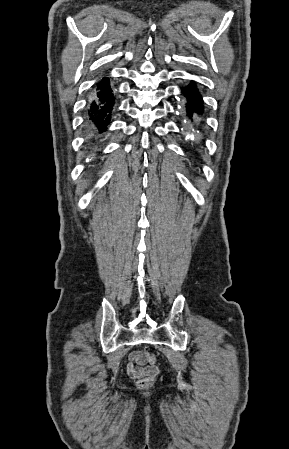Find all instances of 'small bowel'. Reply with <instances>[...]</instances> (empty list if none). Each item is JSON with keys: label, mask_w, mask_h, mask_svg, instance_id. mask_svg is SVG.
<instances>
[{"label": "small bowel", "mask_w": 289, "mask_h": 449, "mask_svg": "<svg viewBox=\"0 0 289 449\" xmlns=\"http://www.w3.org/2000/svg\"><path fill=\"white\" fill-rule=\"evenodd\" d=\"M127 372L133 379H139L150 374H157L159 372V368L147 362L146 352L132 351L129 354Z\"/></svg>", "instance_id": "1"}]
</instances>
